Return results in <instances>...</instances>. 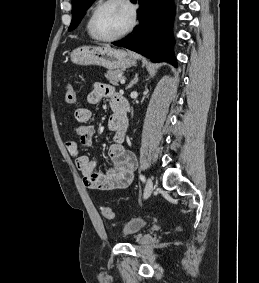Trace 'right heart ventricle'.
<instances>
[{
  "label": "right heart ventricle",
  "instance_id": "e07e8e85",
  "mask_svg": "<svg viewBox=\"0 0 259 283\" xmlns=\"http://www.w3.org/2000/svg\"><path fill=\"white\" fill-rule=\"evenodd\" d=\"M89 21H90V16H89L87 23H86V31H87L88 36L92 38V35L90 33V30H89Z\"/></svg>",
  "mask_w": 259,
  "mask_h": 283
}]
</instances>
